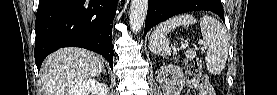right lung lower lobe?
I'll use <instances>...</instances> for the list:
<instances>
[{"instance_id":"obj_1","label":"right lung lower lobe","mask_w":277,"mask_h":95,"mask_svg":"<svg viewBox=\"0 0 277 95\" xmlns=\"http://www.w3.org/2000/svg\"><path fill=\"white\" fill-rule=\"evenodd\" d=\"M116 0H39L36 14L35 63L68 46L101 54L113 69L112 22Z\"/></svg>"}]
</instances>
